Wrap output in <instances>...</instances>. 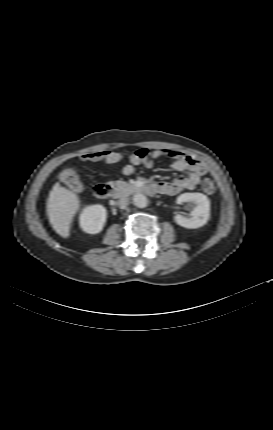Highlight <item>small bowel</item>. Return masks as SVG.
<instances>
[{
    "label": "small bowel",
    "instance_id": "c3829d8e",
    "mask_svg": "<svg viewBox=\"0 0 273 430\" xmlns=\"http://www.w3.org/2000/svg\"><path fill=\"white\" fill-rule=\"evenodd\" d=\"M167 156L174 159L172 167L178 171H188L186 177H178L172 182L158 181L154 182L152 186L155 192L166 195H176L183 190H193L201 180V177L206 174V166L192 155L184 154L182 152L171 149H146L141 148L129 156L130 164L123 168L124 175H131L135 173L136 167L143 165L151 167L154 160ZM123 154L115 151H104L99 153H90L82 156V160L101 162L104 164H115L123 159Z\"/></svg>",
    "mask_w": 273,
    "mask_h": 430
}]
</instances>
